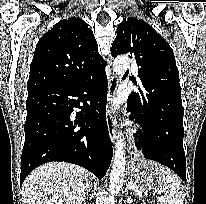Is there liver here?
Listing matches in <instances>:
<instances>
[{"label": "liver", "mask_w": 206, "mask_h": 204, "mask_svg": "<svg viewBox=\"0 0 206 204\" xmlns=\"http://www.w3.org/2000/svg\"><path fill=\"white\" fill-rule=\"evenodd\" d=\"M91 173L65 162H49L30 173L22 185L27 204H82Z\"/></svg>", "instance_id": "1"}]
</instances>
